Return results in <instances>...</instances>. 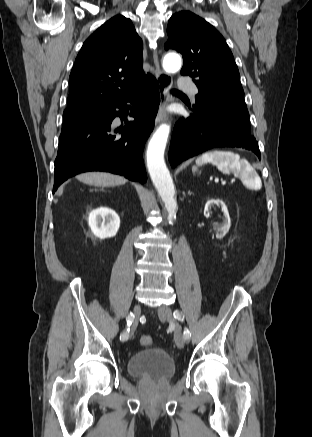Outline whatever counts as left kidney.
I'll return each mask as SVG.
<instances>
[{
  "mask_svg": "<svg viewBox=\"0 0 312 437\" xmlns=\"http://www.w3.org/2000/svg\"><path fill=\"white\" fill-rule=\"evenodd\" d=\"M214 205H220L224 214V219L221 223H214V228L221 233H226L228 232L230 225H231V221H230V217H229V212L227 210V207L225 206L224 202L221 200H215V199H210L206 202L205 207H204V215L205 217H209L210 216V209L212 206Z\"/></svg>",
  "mask_w": 312,
  "mask_h": 437,
  "instance_id": "5707ae66",
  "label": "left kidney"
}]
</instances>
